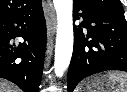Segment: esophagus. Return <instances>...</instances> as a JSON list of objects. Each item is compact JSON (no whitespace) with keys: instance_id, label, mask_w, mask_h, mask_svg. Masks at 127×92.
Here are the masks:
<instances>
[{"instance_id":"esophagus-1","label":"esophagus","mask_w":127,"mask_h":92,"mask_svg":"<svg viewBox=\"0 0 127 92\" xmlns=\"http://www.w3.org/2000/svg\"><path fill=\"white\" fill-rule=\"evenodd\" d=\"M49 17H50V26L48 29V34L53 35L56 29V15L51 1H48Z\"/></svg>"}]
</instances>
